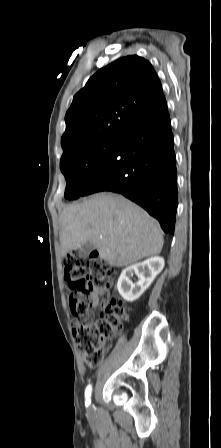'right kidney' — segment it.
Returning <instances> with one entry per match:
<instances>
[{
    "instance_id": "ca27d5eb",
    "label": "right kidney",
    "mask_w": 221,
    "mask_h": 448,
    "mask_svg": "<svg viewBox=\"0 0 221 448\" xmlns=\"http://www.w3.org/2000/svg\"><path fill=\"white\" fill-rule=\"evenodd\" d=\"M163 267L164 259L159 256L126 267L121 272L117 282L119 294L127 302L137 300L162 271ZM134 274L138 277L135 283L131 280Z\"/></svg>"
}]
</instances>
